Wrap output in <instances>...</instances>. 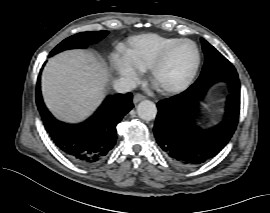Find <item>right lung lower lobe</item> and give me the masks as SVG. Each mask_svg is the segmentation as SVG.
Instances as JSON below:
<instances>
[{"mask_svg": "<svg viewBox=\"0 0 270 213\" xmlns=\"http://www.w3.org/2000/svg\"><path fill=\"white\" fill-rule=\"evenodd\" d=\"M36 103L45 128L56 146L71 160L92 165L103 160L116 143V125L133 108L132 94L107 96L85 122L69 125L56 120L44 105L37 81Z\"/></svg>", "mask_w": 270, "mask_h": 213, "instance_id": "obj_1", "label": "right lung lower lobe"}]
</instances>
